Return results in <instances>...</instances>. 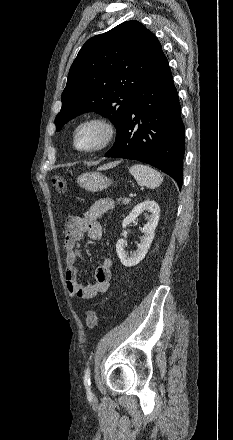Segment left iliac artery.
Masks as SVG:
<instances>
[{"instance_id": "44dca946", "label": "left iliac artery", "mask_w": 233, "mask_h": 440, "mask_svg": "<svg viewBox=\"0 0 233 440\" xmlns=\"http://www.w3.org/2000/svg\"><path fill=\"white\" fill-rule=\"evenodd\" d=\"M90 368L88 367L85 371V375H84V385L89 388L91 385V380H90Z\"/></svg>"}]
</instances>
